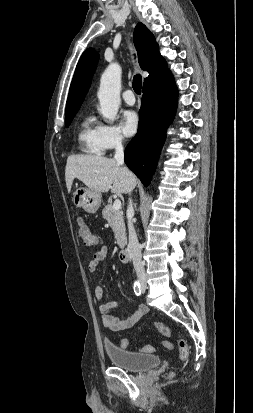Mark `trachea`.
I'll use <instances>...</instances> for the list:
<instances>
[{
  "mask_svg": "<svg viewBox=\"0 0 253 413\" xmlns=\"http://www.w3.org/2000/svg\"><path fill=\"white\" fill-rule=\"evenodd\" d=\"M141 88H142V77L139 74H137L133 78V89L136 94L140 95Z\"/></svg>",
  "mask_w": 253,
  "mask_h": 413,
  "instance_id": "obj_1",
  "label": "trachea"
}]
</instances>
